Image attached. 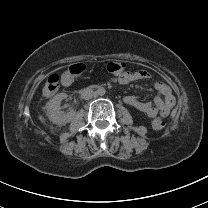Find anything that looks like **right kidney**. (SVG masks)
<instances>
[{
	"mask_svg": "<svg viewBox=\"0 0 208 208\" xmlns=\"http://www.w3.org/2000/svg\"><path fill=\"white\" fill-rule=\"evenodd\" d=\"M65 98H67L66 93H59L55 95L47 104L49 118L54 124L65 125L72 120L73 114L66 113L59 105Z\"/></svg>",
	"mask_w": 208,
	"mask_h": 208,
	"instance_id": "1",
	"label": "right kidney"
}]
</instances>
